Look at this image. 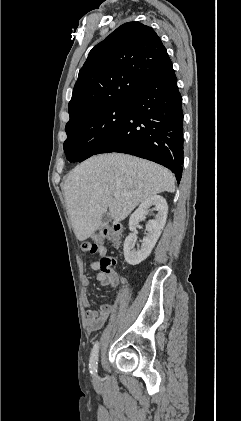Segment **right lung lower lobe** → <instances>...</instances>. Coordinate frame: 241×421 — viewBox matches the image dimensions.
<instances>
[{
    "mask_svg": "<svg viewBox=\"0 0 241 421\" xmlns=\"http://www.w3.org/2000/svg\"><path fill=\"white\" fill-rule=\"evenodd\" d=\"M182 97L170 58L128 99L126 120L96 154L120 152L169 168L180 181L183 162Z\"/></svg>",
    "mask_w": 241,
    "mask_h": 421,
    "instance_id": "98d812e1",
    "label": "right lung lower lobe"
}]
</instances>
